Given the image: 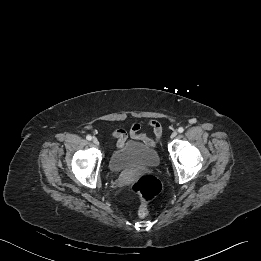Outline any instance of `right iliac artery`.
<instances>
[{
    "instance_id": "1",
    "label": "right iliac artery",
    "mask_w": 261,
    "mask_h": 261,
    "mask_svg": "<svg viewBox=\"0 0 261 261\" xmlns=\"http://www.w3.org/2000/svg\"><path fill=\"white\" fill-rule=\"evenodd\" d=\"M86 139L89 140V141H91V140H92V136H91V135H87V136H86Z\"/></svg>"
}]
</instances>
